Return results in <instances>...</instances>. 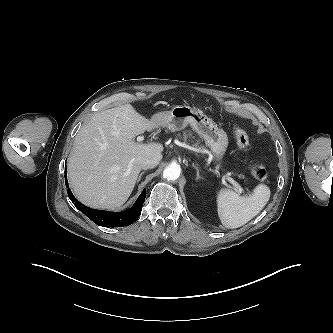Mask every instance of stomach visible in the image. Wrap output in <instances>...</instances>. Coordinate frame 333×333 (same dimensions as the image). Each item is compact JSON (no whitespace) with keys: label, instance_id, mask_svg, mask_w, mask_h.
Masks as SVG:
<instances>
[{"label":"stomach","instance_id":"obj_1","mask_svg":"<svg viewBox=\"0 0 333 333\" xmlns=\"http://www.w3.org/2000/svg\"><path fill=\"white\" fill-rule=\"evenodd\" d=\"M152 120L157 122L159 127H166L172 131H179L190 125L205 141L218 162L222 160L227 150L228 136L226 132L199 109L179 105L170 111L155 114Z\"/></svg>","mask_w":333,"mask_h":333}]
</instances>
